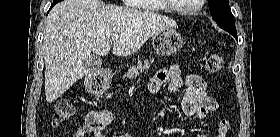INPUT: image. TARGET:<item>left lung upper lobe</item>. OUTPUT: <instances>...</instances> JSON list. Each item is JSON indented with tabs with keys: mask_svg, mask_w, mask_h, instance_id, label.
<instances>
[{
	"mask_svg": "<svg viewBox=\"0 0 280 137\" xmlns=\"http://www.w3.org/2000/svg\"><path fill=\"white\" fill-rule=\"evenodd\" d=\"M212 19L230 34H236L235 21L228 0H208Z\"/></svg>",
	"mask_w": 280,
	"mask_h": 137,
	"instance_id": "1",
	"label": "left lung upper lobe"
}]
</instances>
